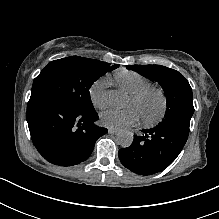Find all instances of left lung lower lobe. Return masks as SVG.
Wrapping results in <instances>:
<instances>
[{
  "label": "left lung lower lobe",
  "mask_w": 219,
  "mask_h": 219,
  "mask_svg": "<svg viewBox=\"0 0 219 219\" xmlns=\"http://www.w3.org/2000/svg\"><path fill=\"white\" fill-rule=\"evenodd\" d=\"M131 146L118 152L122 165L136 174L152 175L166 169L183 149L189 129L179 125H160L142 130Z\"/></svg>",
  "instance_id": "1"
}]
</instances>
